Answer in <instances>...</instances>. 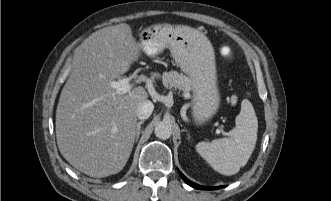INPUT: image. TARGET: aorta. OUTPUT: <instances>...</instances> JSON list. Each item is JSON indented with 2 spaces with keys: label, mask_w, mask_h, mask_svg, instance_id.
<instances>
[{
  "label": "aorta",
  "mask_w": 331,
  "mask_h": 201,
  "mask_svg": "<svg viewBox=\"0 0 331 201\" xmlns=\"http://www.w3.org/2000/svg\"><path fill=\"white\" fill-rule=\"evenodd\" d=\"M154 133L159 139L166 140L172 134L171 125L168 122L161 121L155 126Z\"/></svg>",
  "instance_id": "aorta-1"
}]
</instances>
